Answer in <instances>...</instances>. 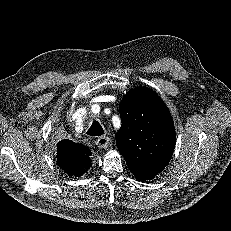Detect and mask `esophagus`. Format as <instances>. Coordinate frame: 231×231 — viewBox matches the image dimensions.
Returning <instances> with one entry per match:
<instances>
[{
    "mask_svg": "<svg viewBox=\"0 0 231 231\" xmlns=\"http://www.w3.org/2000/svg\"><path fill=\"white\" fill-rule=\"evenodd\" d=\"M110 139L106 136H101L96 140V145L99 148H107L109 146Z\"/></svg>",
    "mask_w": 231,
    "mask_h": 231,
    "instance_id": "1",
    "label": "esophagus"
}]
</instances>
